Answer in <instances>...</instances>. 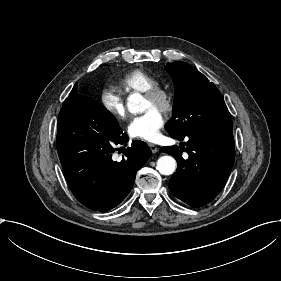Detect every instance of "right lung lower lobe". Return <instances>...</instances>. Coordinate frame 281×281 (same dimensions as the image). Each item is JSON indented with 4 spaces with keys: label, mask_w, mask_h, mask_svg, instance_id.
Here are the masks:
<instances>
[{
    "label": "right lung lower lobe",
    "mask_w": 281,
    "mask_h": 281,
    "mask_svg": "<svg viewBox=\"0 0 281 281\" xmlns=\"http://www.w3.org/2000/svg\"><path fill=\"white\" fill-rule=\"evenodd\" d=\"M57 127L58 155L76 199L100 212L121 203L133 187L136 172L152 154L146 143L134 141L122 148V160L114 161V147L126 146L128 136L100 103L78 93L77 84L61 108Z\"/></svg>",
    "instance_id": "right-lung-lower-lobe-1"
}]
</instances>
